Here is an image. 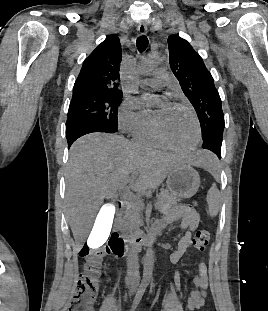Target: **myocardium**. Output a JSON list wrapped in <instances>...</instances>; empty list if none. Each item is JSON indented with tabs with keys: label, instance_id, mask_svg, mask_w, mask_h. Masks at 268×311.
<instances>
[{
	"label": "myocardium",
	"instance_id": "myocardium-1",
	"mask_svg": "<svg viewBox=\"0 0 268 311\" xmlns=\"http://www.w3.org/2000/svg\"><path fill=\"white\" fill-rule=\"evenodd\" d=\"M172 105L174 106H177L179 108H182L184 110H186L192 117L193 121H194V124H195V128H196V137H195V140L193 141V143L188 146V147H178L172 143H170L161 133L160 131V128H159V125H158V121H157V118L156 116L154 115V122H153V127H154V132H155V135L157 137V139L160 141V143L169 148V149H172L174 151H177V152H180V153H189V152H192L194 151L197 146L199 145L200 143V140H201V135H202V132H201V125H200V121L198 119V116L197 114L195 113V111L188 105L184 104V103H181V102H174L172 103Z\"/></svg>",
	"mask_w": 268,
	"mask_h": 311
}]
</instances>
